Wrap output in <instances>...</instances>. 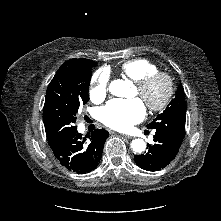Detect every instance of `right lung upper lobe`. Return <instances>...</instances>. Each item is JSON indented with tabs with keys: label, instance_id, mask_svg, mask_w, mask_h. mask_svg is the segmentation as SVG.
Listing matches in <instances>:
<instances>
[{
	"label": "right lung upper lobe",
	"instance_id": "cb5924a9",
	"mask_svg": "<svg viewBox=\"0 0 221 221\" xmlns=\"http://www.w3.org/2000/svg\"><path fill=\"white\" fill-rule=\"evenodd\" d=\"M88 61H90V60L89 59H75V58H73V59H70L69 61H66L62 66H66V65L72 64L74 62H88Z\"/></svg>",
	"mask_w": 221,
	"mask_h": 221
}]
</instances>
